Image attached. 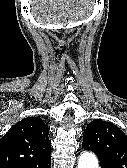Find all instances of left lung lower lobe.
Returning <instances> with one entry per match:
<instances>
[{"mask_svg": "<svg viewBox=\"0 0 127 168\" xmlns=\"http://www.w3.org/2000/svg\"><path fill=\"white\" fill-rule=\"evenodd\" d=\"M101 168H108L104 163L100 162Z\"/></svg>", "mask_w": 127, "mask_h": 168, "instance_id": "obj_1", "label": "left lung lower lobe"}]
</instances>
